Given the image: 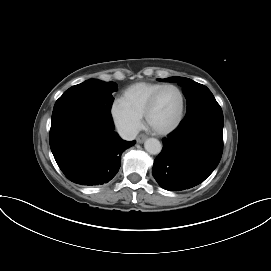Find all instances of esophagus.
<instances>
[{"instance_id": "1", "label": "esophagus", "mask_w": 271, "mask_h": 271, "mask_svg": "<svg viewBox=\"0 0 271 271\" xmlns=\"http://www.w3.org/2000/svg\"><path fill=\"white\" fill-rule=\"evenodd\" d=\"M146 138H147V136L146 135H144V134H141V135H139L138 137H137V139H136V141H137V143H143L145 140H146Z\"/></svg>"}]
</instances>
